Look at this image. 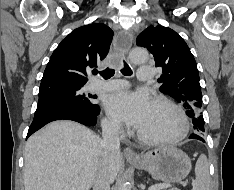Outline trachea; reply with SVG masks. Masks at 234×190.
Wrapping results in <instances>:
<instances>
[{
	"label": "trachea",
	"mask_w": 234,
	"mask_h": 190,
	"mask_svg": "<svg viewBox=\"0 0 234 190\" xmlns=\"http://www.w3.org/2000/svg\"><path fill=\"white\" fill-rule=\"evenodd\" d=\"M123 75L130 76L132 75V70L128 66V64L124 61V67L121 70ZM98 73L97 70L93 71V74L96 75ZM115 71L114 69L107 68L103 71H100L99 74L104 78V79H109L114 75Z\"/></svg>",
	"instance_id": "obj_1"
}]
</instances>
